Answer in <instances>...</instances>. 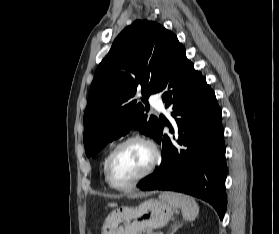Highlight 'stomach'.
<instances>
[{"mask_svg": "<svg viewBox=\"0 0 279 234\" xmlns=\"http://www.w3.org/2000/svg\"><path fill=\"white\" fill-rule=\"evenodd\" d=\"M174 207L162 200H147L137 207H121L106 218L101 234H141L165 226Z\"/></svg>", "mask_w": 279, "mask_h": 234, "instance_id": "obj_1", "label": "stomach"}]
</instances>
